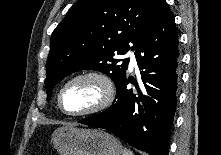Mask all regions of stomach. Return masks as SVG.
<instances>
[{"label": "stomach", "instance_id": "obj_1", "mask_svg": "<svg viewBox=\"0 0 221 155\" xmlns=\"http://www.w3.org/2000/svg\"><path fill=\"white\" fill-rule=\"evenodd\" d=\"M53 145L60 155H121L122 145L99 129L63 126L54 131Z\"/></svg>", "mask_w": 221, "mask_h": 155}]
</instances>
